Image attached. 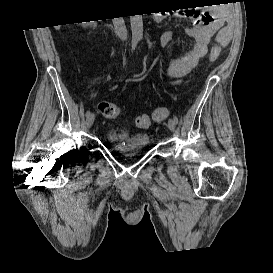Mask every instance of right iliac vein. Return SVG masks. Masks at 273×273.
I'll use <instances>...</instances> for the list:
<instances>
[{"mask_svg":"<svg viewBox=\"0 0 273 273\" xmlns=\"http://www.w3.org/2000/svg\"><path fill=\"white\" fill-rule=\"evenodd\" d=\"M95 120V115L93 113H90L87 117H86V126L87 128H91L93 123Z\"/></svg>","mask_w":273,"mask_h":273,"instance_id":"obj_1","label":"right iliac vein"}]
</instances>
